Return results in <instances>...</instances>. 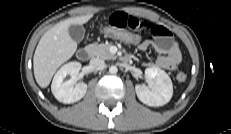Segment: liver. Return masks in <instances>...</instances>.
Segmentation results:
<instances>
[{
    "instance_id": "obj_1",
    "label": "liver",
    "mask_w": 231,
    "mask_h": 134,
    "mask_svg": "<svg viewBox=\"0 0 231 134\" xmlns=\"http://www.w3.org/2000/svg\"><path fill=\"white\" fill-rule=\"evenodd\" d=\"M93 14L65 19L49 29L41 37L33 57L34 76L38 85L46 88L56 70L69 60L77 49V43L70 37L71 25L87 23Z\"/></svg>"
}]
</instances>
